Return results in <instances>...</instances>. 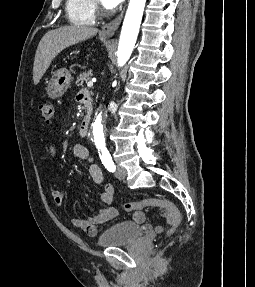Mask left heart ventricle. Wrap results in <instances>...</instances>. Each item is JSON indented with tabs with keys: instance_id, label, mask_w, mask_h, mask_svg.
Here are the masks:
<instances>
[{
	"instance_id": "b2bd125f",
	"label": "left heart ventricle",
	"mask_w": 255,
	"mask_h": 287,
	"mask_svg": "<svg viewBox=\"0 0 255 287\" xmlns=\"http://www.w3.org/2000/svg\"><path fill=\"white\" fill-rule=\"evenodd\" d=\"M109 48H127V47H109Z\"/></svg>"
}]
</instances>
